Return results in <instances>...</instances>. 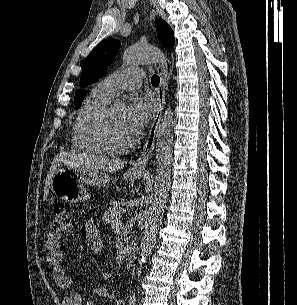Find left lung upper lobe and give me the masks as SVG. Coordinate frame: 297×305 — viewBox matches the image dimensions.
I'll list each match as a JSON object with an SVG mask.
<instances>
[{
	"mask_svg": "<svg viewBox=\"0 0 297 305\" xmlns=\"http://www.w3.org/2000/svg\"><path fill=\"white\" fill-rule=\"evenodd\" d=\"M158 39L167 47L172 48L175 38L171 27L162 19L155 20ZM120 47V42L115 39L102 41L85 59L83 64L80 86L85 87L100 78L111 64ZM85 90L77 91L74 98L76 109L81 105L86 95Z\"/></svg>",
	"mask_w": 297,
	"mask_h": 305,
	"instance_id": "obj_1",
	"label": "left lung upper lobe"
}]
</instances>
